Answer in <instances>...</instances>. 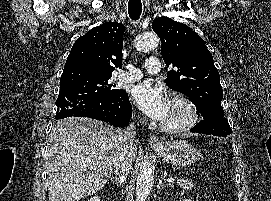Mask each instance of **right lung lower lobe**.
Returning a JSON list of instances; mask_svg holds the SVG:
<instances>
[{
  "label": "right lung lower lobe",
  "instance_id": "obj_1",
  "mask_svg": "<svg viewBox=\"0 0 271 201\" xmlns=\"http://www.w3.org/2000/svg\"><path fill=\"white\" fill-rule=\"evenodd\" d=\"M57 119L66 117H89L119 127L128 124L132 116L131 104L125 90L113 95L98 92L59 93L56 100Z\"/></svg>",
  "mask_w": 271,
  "mask_h": 201
}]
</instances>
